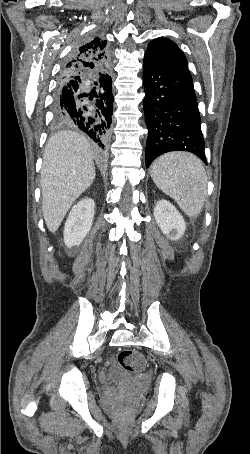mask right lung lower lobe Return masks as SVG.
Returning <instances> with one entry per match:
<instances>
[{
    "label": "right lung lower lobe",
    "instance_id": "right-lung-lower-lobe-1",
    "mask_svg": "<svg viewBox=\"0 0 250 454\" xmlns=\"http://www.w3.org/2000/svg\"><path fill=\"white\" fill-rule=\"evenodd\" d=\"M77 49L73 51L71 57L77 53ZM93 77L87 76L78 81L59 84L54 99V118L60 125L79 128L98 146L104 148L108 142L112 124V79L107 73H101L95 76L98 78L100 92L94 95L83 93L86 78Z\"/></svg>",
    "mask_w": 250,
    "mask_h": 454
}]
</instances>
